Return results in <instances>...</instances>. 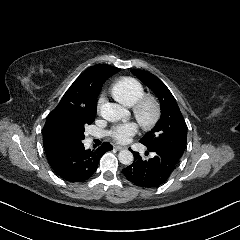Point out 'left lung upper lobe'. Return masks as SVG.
I'll return each mask as SVG.
<instances>
[{"label":"left lung upper lobe","mask_w":240,"mask_h":240,"mask_svg":"<svg viewBox=\"0 0 240 240\" xmlns=\"http://www.w3.org/2000/svg\"><path fill=\"white\" fill-rule=\"evenodd\" d=\"M132 73L154 92L161 104L160 120L140 142L147 148H161L180 158L186 147L187 131L174 96L153 74L144 70H132Z\"/></svg>","instance_id":"5c2ea615"}]
</instances>
